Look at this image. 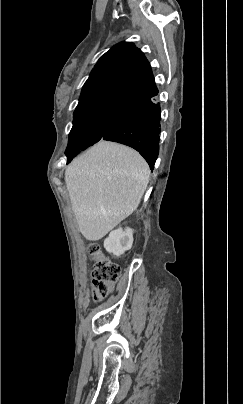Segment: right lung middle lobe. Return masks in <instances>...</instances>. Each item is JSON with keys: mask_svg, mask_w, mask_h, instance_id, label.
I'll use <instances>...</instances> for the list:
<instances>
[{"mask_svg": "<svg viewBox=\"0 0 243 404\" xmlns=\"http://www.w3.org/2000/svg\"><path fill=\"white\" fill-rule=\"evenodd\" d=\"M126 104L120 101H104L76 108L65 151L67 163L81 151L101 140L111 122Z\"/></svg>", "mask_w": 243, "mask_h": 404, "instance_id": "dd1d6c3e", "label": "right lung middle lobe"}]
</instances>
